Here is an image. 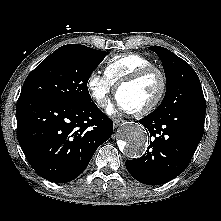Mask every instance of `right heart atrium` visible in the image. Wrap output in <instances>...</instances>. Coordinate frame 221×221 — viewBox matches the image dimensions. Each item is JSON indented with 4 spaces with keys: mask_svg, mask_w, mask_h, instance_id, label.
<instances>
[{
    "mask_svg": "<svg viewBox=\"0 0 221 221\" xmlns=\"http://www.w3.org/2000/svg\"><path fill=\"white\" fill-rule=\"evenodd\" d=\"M86 86L97 106L100 108L106 107L109 96L113 91V85L109 79L105 75L93 71L87 79Z\"/></svg>",
    "mask_w": 221,
    "mask_h": 221,
    "instance_id": "obj_1",
    "label": "right heart atrium"
}]
</instances>
